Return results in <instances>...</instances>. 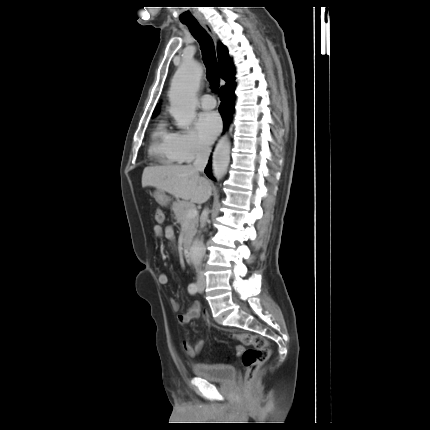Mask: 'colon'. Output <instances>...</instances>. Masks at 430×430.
<instances>
[{
    "label": "colon",
    "instance_id": "1",
    "mask_svg": "<svg viewBox=\"0 0 430 430\" xmlns=\"http://www.w3.org/2000/svg\"><path fill=\"white\" fill-rule=\"evenodd\" d=\"M155 220L161 224L164 221V213L162 210L155 211ZM232 338L240 341L247 349L236 347V352L242 355V362L245 367V384L250 387L255 381L260 368L268 360L270 355L268 341L256 334L248 332L234 333Z\"/></svg>",
    "mask_w": 430,
    "mask_h": 430
}]
</instances>
